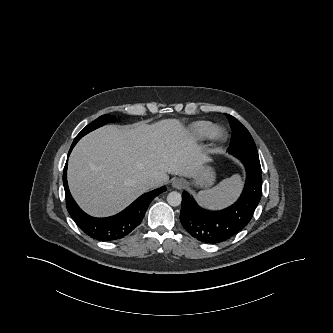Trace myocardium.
I'll use <instances>...</instances> for the list:
<instances>
[{
  "label": "myocardium",
  "instance_id": "f54148a6",
  "mask_svg": "<svg viewBox=\"0 0 333 333\" xmlns=\"http://www.w3.org/2000/svg\"><path fill=\"white\" fill-rule=\"evenodd\" d=\"M212 134L216 139H222L224 137V133L218 128L212 129Z\"/></svg>",
  "mask_w": 333,
  "mask_h": 333
}]
</instances>
